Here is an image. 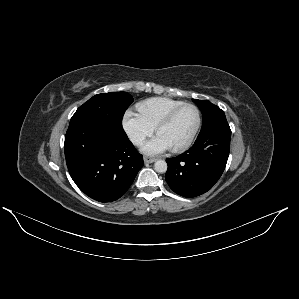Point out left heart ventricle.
<instances>
[{
	"label": "left heart ventricle",
	"instance_id": "1",
	"mask_svg": "<svg viewBox=\"0 0 299 299\" xmlns=\"http://www.w3.org/2000/svg\"><path fill=\"white\" fill-rule=\"evenodd\" d=\"M197 123V114L193 108L187 107L181 110L173 121L159 131L171 146L177 147L186 142L193 133Z\"/></svg>",
	"mask_w": 299,
	"mask_h": 299
}]
</instances>
